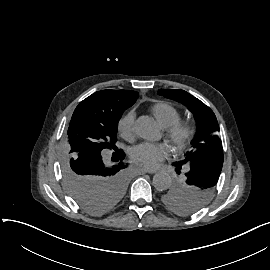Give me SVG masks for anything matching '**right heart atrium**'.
<instances>
[{
	"label": "right heart atrium",
	"mask_w": 270,
	"mask_h": 270,
	"mask_svg": "<svg viewBox=\"0 0 270 270\" xmlns=\"http://www.w3.org/2000/svg\"><path fill=\"white\" fill-rule=\"evenodd\" d=\"M135 124L136 119L133 111H129L122 116L117 124V129L121 137L129 142H134L136 138Z\"/></svg>",
	"instance_id": "obj_1"
}]
</instances>
